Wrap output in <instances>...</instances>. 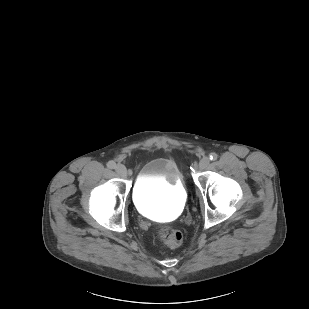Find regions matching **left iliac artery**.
Returning <instances> with one entry per match:
<instances>
[{"instance_id":"left-iliac-artery-1","label":"left iliac artery","mask_w":309,"mask_h":309,"mask_svg":"<svg viewBox=\"0 0 309 309\" xmlns=\"http://www.w3.org/2000/svg\"><path fill=\"white\" fill-rule=\"evenodd\" d=\"M217 158H218V155H217L215 152H213V153H211V154L209 155V159H210L211 161H215V160H217Z\"/></svg>"}]
</instances>
